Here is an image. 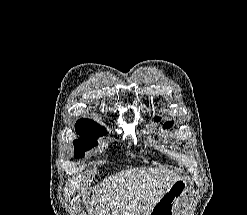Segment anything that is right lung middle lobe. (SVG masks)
Returning <instances> with one entry per match:
<instances>
[{
    "mask_svg": "<svg viewBox=\"0 0 247 215\" xmlns=\"http://www.w3.org/2000/svg\"><path fill=\"white\" fill-rule=\"evenodd\" d=\"M75 129L77 134L81 136V138L73 142L76 148L75 156L77 158L82 157L84 155V151L97 145L96 138L107 134L104 127L97 124L93 120L83 118L76 122Z\"/></svg>",
    "mask_w": 247,
    "mask_h": 215,
    "instance_id": "dd1d6c3e",
    "label": "right lung middle lobe"
}]
</instances>
